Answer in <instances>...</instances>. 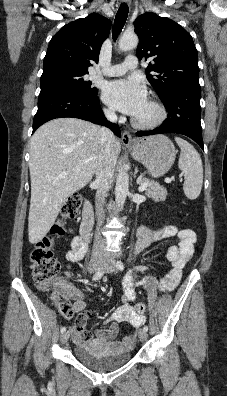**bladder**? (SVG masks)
<instances>
[{
	"label": "bladder",
	"instance_id": "obj_1",
	"mask_svg": "<svg viewBox=\"0 0 227 396\" xmlns=\"http://www.w3.org/2000/svg\"><path fill=\"white\" fill-rule=\"evenodd\" d=\"M74 356L85 367L93 371L116 370L131 359L129 352L110 353L96 343H85L74 347Z\"/></svg>",
	"mask_w": 227,
	"mask_h": 396
}]
</instances>
